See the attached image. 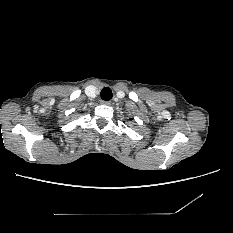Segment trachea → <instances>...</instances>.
<instances>
[{
    "label": "trachea",
    "mask_w": 233,
    "mask_h": 233,
    "mask_svg": "<svg viewBox=\"0 0 233 233\" xmlns=\"http://www.w3.org/2000/svg\"><path fill=\"white\" fill-rule=\"evenodd\" d=\"M101 98L105 101H108L112 98L113 94H112V90L109 87H105L101 90Z\"/></svg>",
    "instance_id": "3493384b"
}]
</instances>
